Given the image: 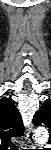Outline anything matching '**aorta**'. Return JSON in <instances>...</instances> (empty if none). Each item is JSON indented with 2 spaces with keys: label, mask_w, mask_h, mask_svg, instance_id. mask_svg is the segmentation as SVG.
<instances>
[{
  "label": "aorta",
  "mask_w": 51,
  "mask_h": 150,
  "mask_svg": "<svg viewBox=\"0 0 51 150\" xmlns=\"http://www.w3.org/2000/svg\"><path fill=\"white\" fill-rule=\"evenodd\" d=\"M34 136H35V141L39 146L44 145L48 141V138H49L48 131L46 130L45 127H38L35 130Z\"/></svg>",
  "instance_id": "obj_1"
}]
</instances>
